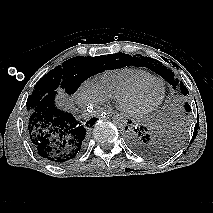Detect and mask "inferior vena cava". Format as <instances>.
Instances as JSON below:
<instances>
[{
    "instance_id": "1",
    "label": "inferior vena cava",
    "mask_w": 213,
    "mask_h": 213,
    "mask_svg": "<svg viewBox=\"0 0 213 213\" xmlns=\"http://www.w3.org/2000/svg\"><path fill=\"white\" fill-rule=\"evenodd\" d=\"M83 116H84V118H86V119H87V118H89V116H90V115H89V113H87V112H86V113H84V115H83Z\"/></svg>"
}]
</instances>
